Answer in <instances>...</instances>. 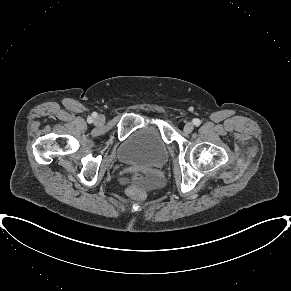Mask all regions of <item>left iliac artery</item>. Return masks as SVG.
Wrapping results in <instances>:
<instances>
[{
    "mask_svg": "<svg viewBox=\"0 0 291 291\" xmlns=\"http://www.w3.org/2000/svg\"><path fill=\"white\" fill-rule=\"evenodd\" d=\"M193 124L195 126H199L201 124V121L198 118L193 119Z\"/></svg>",
    "mask_w": 291,
    "mask_h": 291,
    "instance_id": "1",
    "label": "left iliac artery"
}]
</instances>
